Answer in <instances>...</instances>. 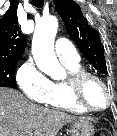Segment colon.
Listing matches in <instances>:
<instances>
[{"label":"colon","mask_w":117,"mask_h":136,"mask_svg":"<svg viewBox=\"0 0 117 136\" xmlns=\"http://www.w3.org/2000/svg\"><path fill=\"white\" fill-rule=\"evenodd\" d=\"M95 135H101L99 132H97Z\"/></svg>","instance_id":"obj_1"}]
</instances>
